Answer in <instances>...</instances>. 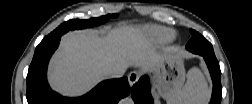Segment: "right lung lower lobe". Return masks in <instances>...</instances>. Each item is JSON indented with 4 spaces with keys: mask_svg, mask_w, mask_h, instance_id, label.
<instances>
[{
    "mask_svg": "<svg viewBox=\"0 0 252 104\" xmlns=\"http://www.w3.org/2000/svg\"><path fill=\"white\" fill-rule=\"evenodd\" d=\"M60 37L42 41L35 49L27 75L28 104H117L128 96L130 86L126 77L106 80L88 94L79 98H66L53 92L47 82L49 59L59 45Z\"/></svg>",
    "mask_w": 252,
    "mask_h": 104,
    "instance_id": "98d812e1",
    "label": "right lung lower lobe"
}]
</instances>
